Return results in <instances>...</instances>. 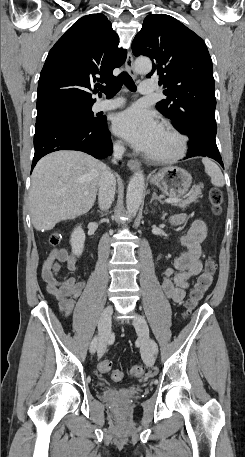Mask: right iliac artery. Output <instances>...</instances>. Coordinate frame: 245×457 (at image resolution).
<instances>
[{
	"label": "right iliac artery",
	"instance_id": "1",
	"mask_svg": "<svg viewBox=\"0 0 245 457\" xmlns=\"http://www.w3.org/2000/svg\"><path fill=\"white\" fill-rule=\"evenodd\" d=\"M97 342H98V337L95 336L91 342V345H90V351L91 353H94L96 351V348H97Z\"/></svg>",
	"mask_w": 245,
	"mask_h": 457
}]
</instances>
